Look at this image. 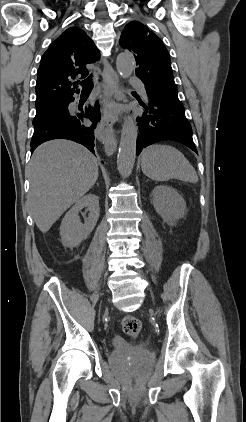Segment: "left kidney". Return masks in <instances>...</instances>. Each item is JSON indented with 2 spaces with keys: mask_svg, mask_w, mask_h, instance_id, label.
I'll use <instances>...</instances> for the list:
<instances>
[{
  "mask_svg": "<svg viewBox=\"0 0 246 422\" xmlns=\"http://www.w3.org/2000/svg\"><path fill=\"white\" fill-rule=\"evenodd\" d=\"M152 196L155 211L168 224H173L183 218L187 212L184 198L170 186H156L152 191Z\"/></svg>",
  "mask_w": 246,
  "mask_h": 422,
  "instance_id": "5707ae66",
  "label": "left kidney"
}]
</instances>
